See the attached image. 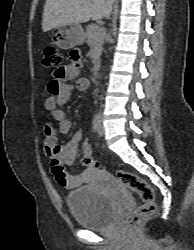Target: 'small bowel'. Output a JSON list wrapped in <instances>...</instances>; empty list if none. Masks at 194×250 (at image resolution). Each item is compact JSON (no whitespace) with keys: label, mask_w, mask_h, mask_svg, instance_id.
<instances>
[{"label":"small bowel","mask_w":194,"mask_h":250,"mask_svg":"<svg viewBox=\"0 0 194 250\" xmlns=\"http://www.w3.org/2000/svg\"><path fill=\"white\" fill-rule=\"evenodd\" d=\"M81 63L73 61L56 71L48 83L50 96L45 100V108L52 120L59 124L58 131L66 134L72 128L71 120L66 116L59 106L66 104L72 97L75 89L85 90L89 82L85 78H77ZM74 81V83H72ZM44 150L50 158L51 170L56 181L68 189L78 188L91 176V171L84 169L78 175H72L65 170V166H72L76 160V153L82 132L75 133L71 140L64 145L57 143L56 128L51 120L45 125Z\"/></svg>","instance_id":"small-bowel-1"}]
</instances>
